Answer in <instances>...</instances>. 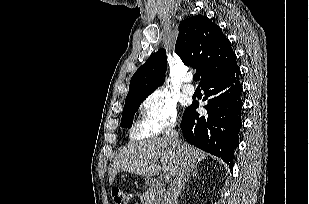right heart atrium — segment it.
I'll return each instance as SVG.
<instances>
[{
  "label": "right heart atrium",
  "mask_w": 309,
  "mask_h": 204,
  "mask_svg": "<svg viewBox=\"0 0 309 204\" xmlns=\"http://www.w3.org/2000/svg\"><path fill=\"white\" fill-rule=\"evenodd\" d=\"M142 120L137 135L152 137L164 134L177 123V109L173 100L160 92H154L144 99L140 107Z\"/></svg>",
  "instance_id": "1"
}]
</instances>
